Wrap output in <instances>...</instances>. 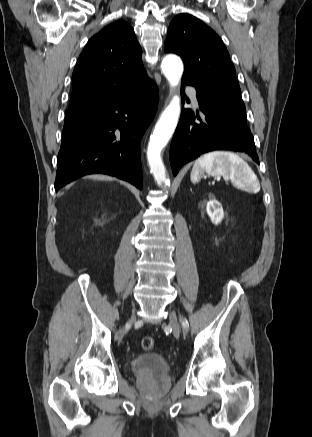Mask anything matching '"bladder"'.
<instances>
[{"label": "bladder", "mask_w": 312, "mask_h": 437, "mask_svg": "<svg viewBox=\"0 0 312 437\" xmlns=\"http://www.w3.org/2000/svg\"><path fill=\"white\" fill-rule=\"evenodd\" d=\"M133 373L139 375H166L170 371L168 360L158 353H141L130 363Z\"/></svg>", "instance_id": "bladder-1"}]
</instances>
